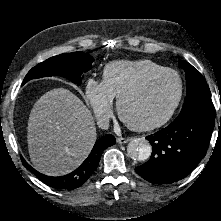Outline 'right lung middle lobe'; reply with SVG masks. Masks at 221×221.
Segmentation results:
<instances>
[{
  "label": "right lung middle lobe",
  "instance_id": "dd1d6c3e",
  "mask_svg": "<svg viewBox=\"0 0 221 221\" xmlns=\"http://www.w3.org/2000/svg\"><path fill=\"white\" fill-rule=\"evenodd\" d=\"M93 57L83 52L64 53L47 59L32 68L23 80V84L35 78L58 75L68 78L77 85L81 75L91 69Z\"/></svg>",
  "mask_w": 221,
  "mask_h": 221
}]
</instances>
